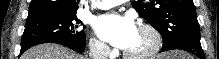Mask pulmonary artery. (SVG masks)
Listing matches in <instances>:
<instances>
[{
  "mask_svg": "<svg viewBox=\"0 0 219 59\" xmlns=\"http://www.w3.org/2000/svg\"><path fill=\"white\" fill-rule=\"evenodd\" d=\"M124 2H125L124 0H102V1H99L96 7L100 9H108V8H111L113 6L119 5Z\"/></svg>",
  "mask_w": 219,
  "mask_h": 59,
  "instance_id": "pulmonary-artery-1",
  "label": "pulmonary artery"
}]
</instances>
